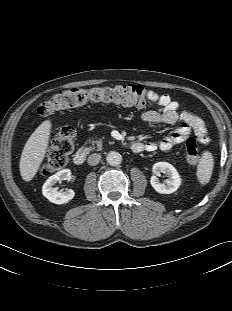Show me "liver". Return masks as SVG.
<instances>
[{"label":"liver","mask_w":232,"mask_h":311,"mask_svg":"<svg viewBox=\"0 0 232 311\" xmlns=\"http://www.w3.org/2000/svg\"><path fill=\"white\" fill-rule=\"evenodd\" d=\"M51 121L42 122L27 140L21 154L19 170L24 181L29 182L36 175L45 157L51 132Z\"/></svg>","instance_id":"1"}]
</instances>
